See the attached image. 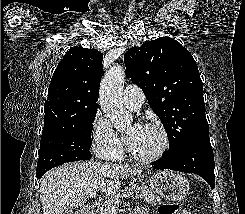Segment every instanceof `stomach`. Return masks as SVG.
<instances>
[{"instance_id": "obj_1", "label": "stomach", "mask_w": 245, "mask_h": 214, "mask_svg": "<svg viewBox=\"0 0 245 214\" xmlns=\"http://www.w3.org/2000/svg\"><path fill=\"white\" fill-rule=\"evenodd\" d=\"M150 186L153 192L168 200H180L189 192V183L186 178L169 170L152 174Z\"/></svg>"}]
</instances>
